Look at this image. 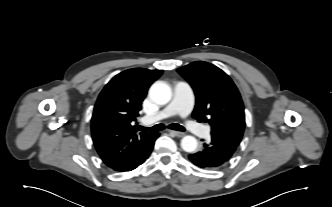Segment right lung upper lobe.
<instances>
[{
    "mask_svg": "<svg viewBox=\"0 0 332 207\" xmlns=\"http://www.w3.org/2000/svg\"><path fill=\"white\" fill-rule=\"evenodd\" d=\"M162 70L134 68L113 77L100 93L91 120L94 145L109 167L137 158L153 133H138L133 120L139 115L150 85Z\"/></svg>",
    "mask_w": 332,
    "mask_h": 207,
    "instance_id": "right-lung-upper-lobe-1",
    "label": "right lung upper lobe"
}]
</instances>
